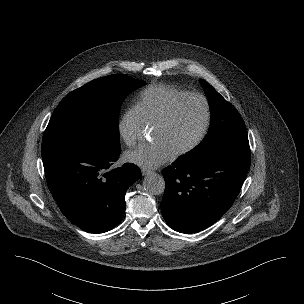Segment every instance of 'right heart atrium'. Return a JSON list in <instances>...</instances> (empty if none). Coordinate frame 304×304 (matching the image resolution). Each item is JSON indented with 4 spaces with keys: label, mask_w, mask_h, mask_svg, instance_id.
<instances>
[{
    "label": "right heart atrium",
    "mask_w": 304,
    "mask_h": 304,
    "mask_svg": "<svg viewBox=\"0 0 304 304\" xmlns=\"http://www.w3.org/2000/svg\"><path fill=\"white\" fill-rule=\"evenodd\" d=\"M145 127L144 119L135 104L125 110L117 125L118 134L127 146H132L139 140Z\"/></svg>",
    "instance_id": "d8ad5b80"
}]
</instances>
